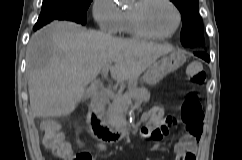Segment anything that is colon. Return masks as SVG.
I'll return each mask as SVG.
<instances>
[{
	"mask_svg": "<svg viewBox=\"0 0 242 160\" xmlns=\"http://www.w3.org/2000/svg\"><path fill=\"white\" fill-rule=\"evenodd\" d=\"M187 76L193 83H203L206 78V73L202 63L198 61L189 63L187 66ZM181 119L186 124L187 133L196 135L200 132L203 112L201 104L194 92H189L182 103ZM41 127L44 132V146L50 150L56 158L68 160V144L64 140L60 124L55 120H44ZM161 136L162 134L158 131L152 133L153 138L159 139ZM73 160H92V158L88 153H77L73 156Z\"/></svg>",
	"mask_w": 242,
	"mask_h": 160,
	"instance_id": "colon-1",
	"label": "colon"
}]
</instances>
